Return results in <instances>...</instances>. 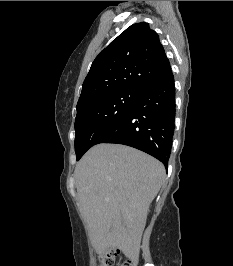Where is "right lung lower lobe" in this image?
<instances>
[{
  "label": "right lung lower lobe",
  "mask_w": 233,
  "mask_h": 266,
  "mask_svg": "<svg viewBox=\"0 0 233 266\" xmlns=\"http://www.w3.org/2000/svg\"><path fill=\"white\" fill-rule=\"evenodd\" d=\"M175 116V86L171 68L146 86L128 112L98 143L124 144L142 150L167 168Z\"/></svg>",
  "instance_id": "right-lung-lower-lobe-1"
}]
</instances>
